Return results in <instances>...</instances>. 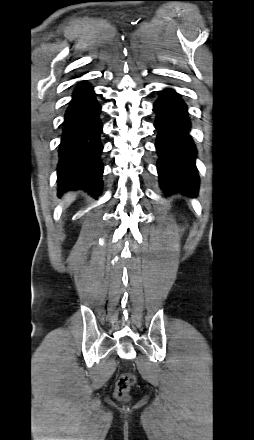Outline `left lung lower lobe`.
Listing matches in <instances>:
<instances>
[{
    "label": "left lung lower lobe",
    "mask_w": 254,
    "mask_h": 440,
    "mask_svg": "<svg viewBox=\"0 0 254 440\" xmlns=\"http://www.w3.org/2000/svg\"><path fill=\"white\" fill-rule=\"evenodd\" d=\"M158 130L156 148L160 186L166 194L181 192L196 196L199 176L194 163L196 148L189 136L190 120L187 106L179 94L168 89L161 91L155 102Z\"/></svg>",
    "instance_id": "left-lung-lower-lobe-1"
}]
</instances>
